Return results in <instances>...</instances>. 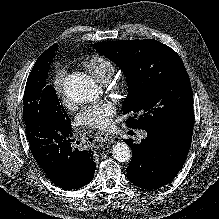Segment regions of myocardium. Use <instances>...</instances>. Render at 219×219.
Returning <instances> with one entry per match:
<instances>
[{"label":"myocardium","instance_id":"myocardium-1","mask_svg":"<svg viewBox=\"0 0 219 219\" xmlns=\"http://www.w3.org/2000/svg\"><path fill=\"white\" fill-rule=\"evenodd\" d=\"M129 88V79L128 78H122L118 81H116L112 85V90L116 92L118 95H125Z\"/></svg>","mask_w":219,"mask_h":219}]
</instances>
